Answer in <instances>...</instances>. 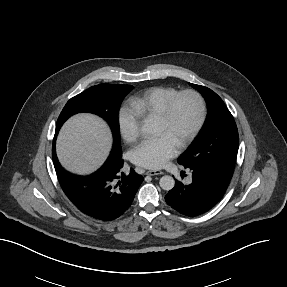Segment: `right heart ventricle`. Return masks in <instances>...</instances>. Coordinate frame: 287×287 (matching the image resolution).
Returning <instances> with one entry per match:
<instances>
[{
	"label": "right heart ventricle",
	"instance_id": "1",
	"mask_svg": "<svg viewBox=\"0 0 287 287\" xmlns=\"http://www.w3.org/2000/svg\"><path fill=\"white\" fill-rule=\"evenodd\" d=\"M173 87H152L130 101L131 110L140 120L157 118L163 111L166 102L177 93Z\"/></svg>",
	"mask_w": 287,
	"mask_h": 287
}]
</instances>
